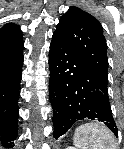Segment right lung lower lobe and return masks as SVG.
<instances>
[{
	"label": "right lung lower lobe",
	"mask_w": 124,
	"mask_h": 149,
	"mask_svg": "<svg viewBox=\"0 0 124 149\" xmlns=\"http://www.w3.org/2000/svg\"><path fill=\"white\" fill-rule=\"evenodd\" d=\"M23 39L0 43V141L14 146L18 134V97L23 64Z\"/></svg>",
	"instance_id": "obj_1"
}]
</instances>
